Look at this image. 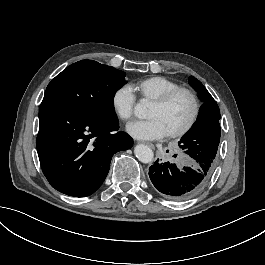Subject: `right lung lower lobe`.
<instances>
[{
    "mask_svg": "<svg viewBox=\"0 0 265 265\" xmlns=\"http://www.w3.org/2000/svg\"><path fill=\"white\" fill-rule=\"evenodd\" d=\"M117 121L92 118L57 104H41L37 152L49 183L61 193L86 197L105 180L114 153L133 139Z\"/></svg>",
    "mask_w": 265,
    "mask_h": 265,
    "instance_id": "98d812e1",
    "label": "right lung lower lobe"
}]
</instances>
